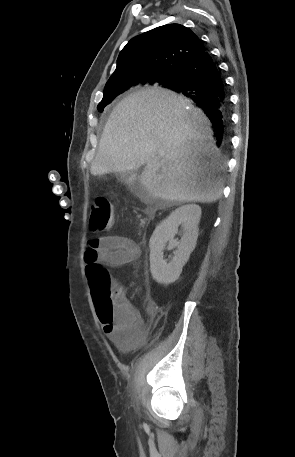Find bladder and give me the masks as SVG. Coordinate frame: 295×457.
Masks as SVG:
<instances>
[{"label": "bladder", "instance_id": "obj_1", "mask_svg": "<svg viewBox=\"0 0 295 457\" xmlns=\"http://www.w3.org/2000/svg\"><path fill=\"white\" fill-rule=\"evenodd\" d=\"M110 347H122V356H137L139 338H110Z\"/></svg>", "mask_w": 295, "mask_h": 457}]
</instances>
